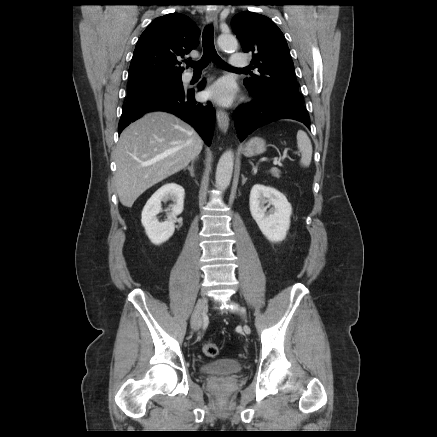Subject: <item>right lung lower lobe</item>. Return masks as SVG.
<instances>
[{"label":"right lung lower lobe","instance_id":"1","mask_svg":"<svg viewBox=\"0 0 437 437\" xmlns=\"http://www.w3.org/2000/svg\"><path fill=\"white\" fill-rule=\"evenodd\" d=\"M204 84V80L199 83V90L203 88ZM158 110L173 113L191 124L204 142L208 146L211 145L215 125V109L209 104L196 102L193 89H173L127 100L122 106L118 132L121 133L125 127L144 113Z\"/></svg>","mask_w":437,"mask_h":437}]
</instances>
